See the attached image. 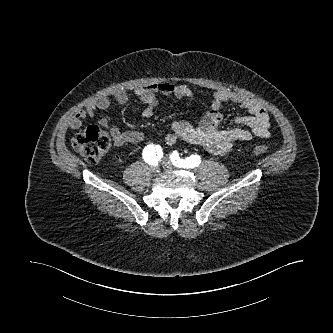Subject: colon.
Instances as JSON below:
<instances>
[{"mask_svg":"<svg viewBox=\"0 0 333 333\" xmlns=\"http://www.w3.org/2000/svg\"><path fill=\"white\" fill-rule=\"evenodd\" d=\"M111 137L107 131L97 125H91L82 133L77 134L73 140V147L88 162H97L109 151ZM248 156L256 157L265 155L268 148L265 145H252L245 150Z\"/></svg>","mask_w":333,"mask_h":333,"instance_id":"obj_1","label":"colon"}]
</instances>
